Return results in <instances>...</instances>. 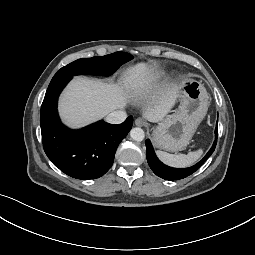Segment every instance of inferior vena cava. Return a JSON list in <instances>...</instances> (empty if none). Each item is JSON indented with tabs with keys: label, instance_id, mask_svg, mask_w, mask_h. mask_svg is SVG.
Listing matches in <instances>:
<instances>
[{
	"label": "inferior vena cava",
	"instance_id": "inferior-vena-cava-1",
	"mask_svg": "<svg viewBox=\"0 0 255 255\" xmlns=\"http://www.w3.org/2000/svg\"><path fill=\"white\" fill-rule=\"evenodd\" d=\"M127 114L123 110H116L109 113L106 117V121L111 124H120L125 121Z\"/></svg>",
	"mask_w": 255,
	"mask_h": 255
}]
</instances>
